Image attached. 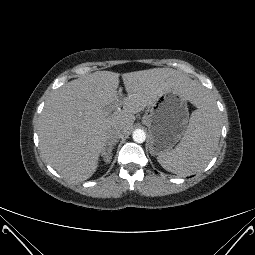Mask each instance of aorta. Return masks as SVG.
<instances>
[{
    "label": "aorta",
    "instance_id": "obj_1",
    "mask_svg": "<svg viewBox=\"0 0 255 255\" xmlns=\"http://www.w3.org/2000/svg\"><path fill=\"white\" fill-rule=\"evenodd\" d=\"M132 138L136 143H143L146 140V134L141 129H136L133 134Z\"/></svg>",
    "mask_w": 255,
    "mask_h": 255
}]
</instances>
